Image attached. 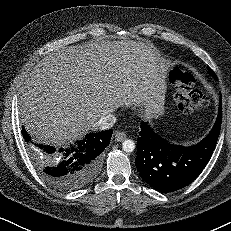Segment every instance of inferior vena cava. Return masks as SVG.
Segmentation results:
<instances>
[{"label": "inferior vena cava", "mask_w": 231, "mask_h": 231, "mask_svg": "<svg viewBox=\"0 0 231 231\" xmlns=\"http://www.w3.org/2000/svg\"><path fill=\"white\" fill-rule=\"evenodd\" d=\"M116 122V117L112 114H109L107 116L101 117L96 123H95V129L98 130H107L110 129Z\"/></svg>", "instance_id": "602c4592"}]
</instances>
